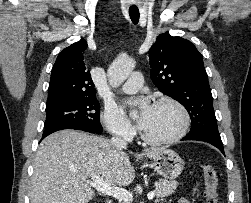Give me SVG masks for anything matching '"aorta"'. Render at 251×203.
<instances>
[{
	"instance_id": "aorta-1",
	"label": "aorta",
	"mask_w": 251,
	"mask_h": 203,
	"mask_svg": "<svg viewBox=\"0 0 251 203\" xmlns=\"http://www.w3.org/2000/svg\"><path fill=\"white\" fill-rule=\"evenodd\" d=\"M135 67V61L130 58H117L108 68V81L112 87L120 86Z\"/></svg>"
}]
</instances>
